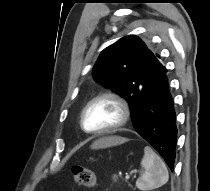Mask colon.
Masks as SVG:
<instances>
[{
  "instance_id": "colon-1",
  "label": "colon",
  "mask_w": 210,
  "mask_h": 191,
  "mask_svg": "<svg viewBox=\"0 0 210 191\" xmlns=\"http://www.w3.org/2000/svg\"><path fill=\"white\" fill-rule=\"evenodd\" d=\"M71 176L77 184L87 187H94L96 185L95 173L89 168L79 165L73 166L71 168Z\"/></svg>"
}]
</instances>
